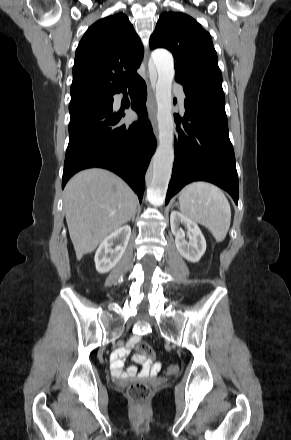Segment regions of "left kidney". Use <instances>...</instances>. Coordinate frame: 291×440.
<instances>
[{
	"mask_svg": "<svg viewBox=\"0 0 291 440\" xmlns=\"http://www.w3.org/2000/svg\"><path fill=\"white\" fill-rule=\"evenodd\" d=\"M180 224L187 228L189 242L185 240V233L179 227ZM170 225L180 255L190 262H198L206 251V240L198 225L179 211L171 212Z\"/></svg>",
	"mask_w": 291,
	"mask_h": 440,
	"instance_id": "obj_1",
	"label": "left kidney"
}]
</instances>
